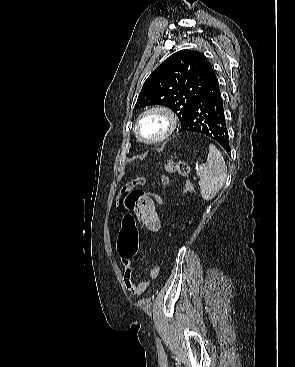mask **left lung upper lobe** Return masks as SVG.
Wrapping results in <instances>:
<instances>
[{
	"label": "left lung upper lobe",
	"instance_id": "1",
	"mask_svg": "<svg viewBox=\"0 0 295 367\" xmlns=\"http://www.w3.org/2000/svg\"><path fill=\"white\" fill-rule=\"evenodd\" d=\"M213 73L212 65L202 53L178 51L146 79L134 108L164 105L176 113L182 124Z\"/></svg>",
	"mask_w": 295,
	"mask_h": 367
}]
</instances>
